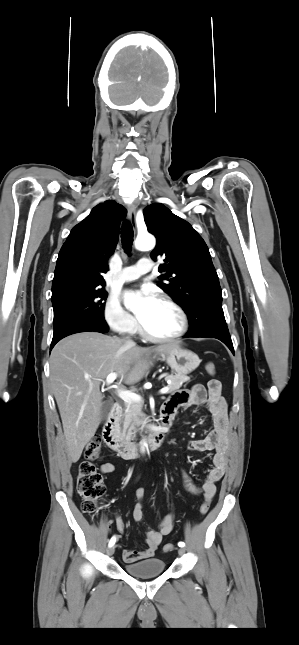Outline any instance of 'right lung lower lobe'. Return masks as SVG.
Masks as SVG:
<instances>
[{
    "label": "right lung lower lobe",
    "instance_id": "obj_1",
    "mask_svg": "<svg viewBox=\"0 0 299 645\" xmlns=\"http://www.w3.org/2000/svg\"><path fill=\"white\" fill-rule=\"evenodd\" d=\"M91 331L105 333L108 331V327L107 325H101L94 322H83V323H79L77 325L71 326L70 328L62 331L60 334L53 336L50 349H52L59 340H61L62 338L68 335L79 333V332H91Z\"/></svg>",
    "mask_w": 299,
    "mask_h": 645
}]
</instances>
